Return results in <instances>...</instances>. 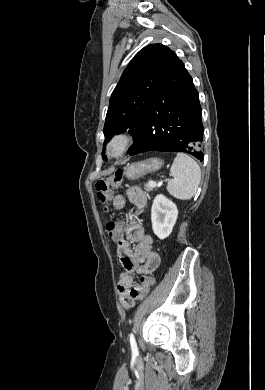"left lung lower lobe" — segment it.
<instances>
[{
	"label": "left lung lower lobe",
	"instance_id": "left-lung-lower-lobe-1",
	"mask_svg": "<svg viewBox=\"0 0 265 390\" xmlns=\"http://www.w3.org/2000/svg\"><path fill=\"white\" fill-rule=\"evenodd\" d=\"M202 140L198 92L179 60L151 101L140 135L128 154L184 152L203 161Z\"/></svg>",
	"mask_w": 265,
	"mask_h": 390
}]
</instances>
